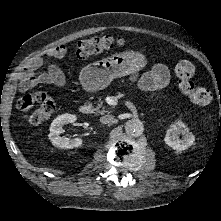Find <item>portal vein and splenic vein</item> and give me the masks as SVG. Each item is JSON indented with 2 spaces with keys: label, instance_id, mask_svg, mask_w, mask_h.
<instances>
[{
  "label": "portal vein and splenic vein",
  "instance_id": "portal-vein-and-splenic-vein-1",
  "mask_svg": "<svg viewBox=\"0 0 221 221\" xmlns=\"http://www.w3.org/2000/svg\"><path fill=\"white\" fill-rule=\"evenodd\" d=\"M117 98H118V97H115V98H114L113 105L116 104V100H117Z\"/></svg>",
  "mask_w": 221,
  "mask_h": 221
}]
</instances>
